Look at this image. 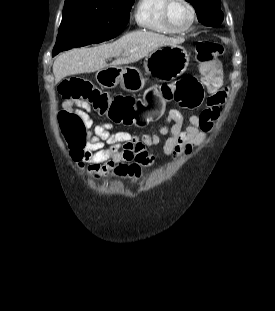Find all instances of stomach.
<instances>
[{"label": "stomach", "mask_w": 275, "mask_h": 311, "mask_svg": "<svg viewBox=\"0 0 275 311\" xmlns=\"http://www.w3.org/2000/svg\"><path fill=\"white\" fill-rule=\"evenodd\" d=\"M190 53L177 44L159 47L146 56V75H153L161 81H171L183 74L189 65ZM96 80L102 87L120 85L130 92L141 90L146 82L143 74L134 67L110 66L98 70Z\"/></svg>", "instance_id": "1"}]
</instances>
